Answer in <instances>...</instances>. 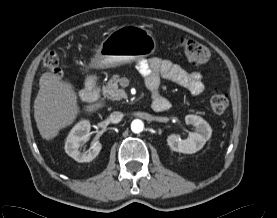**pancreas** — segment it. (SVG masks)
Segmentation results:
<instances>
[{"label":"pancreas","mask_w":277,"mask_h":218,"mask_svg":"<svg viewBox=\"0 0 277 218\" xmlns=\"http://www.w3.org/2000/svg\"><path fill=\"white\" fill-rule=\"evenodd\" d=\"M120 76L113 75L106 85L102 87L103 95L112 100L127 98L126 92L119 88Z\"/></svg>","instance_id":"1"}]
</instances>
